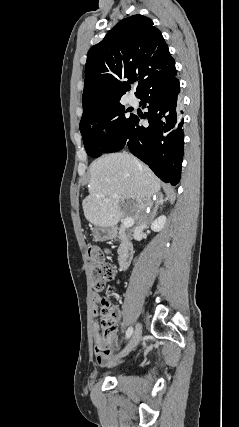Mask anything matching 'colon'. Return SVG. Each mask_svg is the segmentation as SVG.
<instances>
[{
    "label": "colon",
    "instance_id": "colon-1",
    "mask_svg": "<svg viewBox=\"0 0 239 427\" xmlns=\"http://www.w3.org/2000/svg\"><path fill=\"white\" fill-rule=\"evenodd\" d=\"M88 265L93 288L97 291L107 290L112 295V290L107 287V284L114 278L115 270L112 264L105 261V251L99 247L89 248ZM100 324L102 328L100 347L105 350L111 346L116 325L114 311L110 309L108 299L101 300Z\"/></svg>",
    "mask_w": 239,
    "mask_h": 427
}]
</instances>
